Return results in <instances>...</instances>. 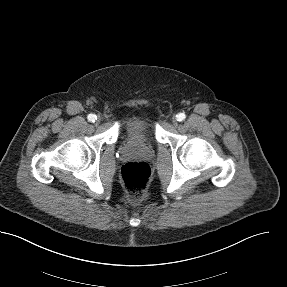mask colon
Masks as SVG:
<instances>
[{"label":"colon","mask_w":287,"mask_h":287,"mask_svg":"<svg viewBox=\"0 0 287 287\" xmlns=\"http://www.w3.org/2000/svg\"><path fill=\"white\" fill-rule=\"evenodd\" d=\"M151 178V170L144 162H128L121 168V181L129 198L140 200L145 194Z\"/></svg>","instance_id":"colon-1"}]
</instances>
